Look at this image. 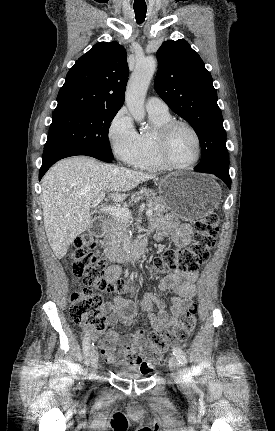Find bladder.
<instances>
[{"mask_svg":"<svg viewBox=\"0 0 275 431\" xmlns=\"http://www.w3.org/2000/svg\"><path fill=\"white\" fill-rule=\"evenodd\" d=\"M118 371L121 373V374H124V375H131V376H134V377H141V376H145L146 375V373H144V372H132L131 370H129V368L128 367H119L118 368Z\"/></svg>","mask_w":275,"mask_h":431,"instance_id":"31cf9c89","label":"bladder"}]
</instances>
